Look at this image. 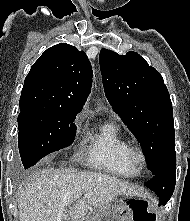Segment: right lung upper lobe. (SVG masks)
Instances as JSON below:
<instances>
[{
	"mask_svg": "<svg viewBox=\"0 0 190 221\" xmlns=\"http://www.w3.org/2000/svg\"><path fill=\"white\" fill-rule=\"evenodd\" d=\"M92 70L86 54L72 45L50 47L31 67L20 97V111L79 113L90 92Z\"/></svg>",
	"mask_w": 190,
	"mask_h": 221,
	"instance_id": "cb5924a9",
	"label": "right lung upper lobe"
}]
</instances>
